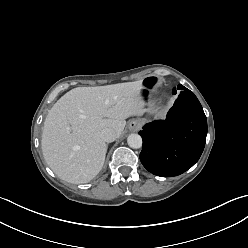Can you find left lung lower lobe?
<instances>
[{
	"instance_id": "obj_1",
	"label": "left lung lower lobe",
	"mask_w": 248,
	"mask_h": 248,
	"mask_svg": "<svg viewBox=\"0 0 248 248\" xmlns=\"http://www.w3.org/2000/svg\"><path fill=\"white\" fill-rule=\"evenodd\" d=\"M139 134L143 166L157 176H177L199 160L206 142L207 119L197 97L185 88L166 119L146 124Z\"/></svg>"
}]
</instances>
